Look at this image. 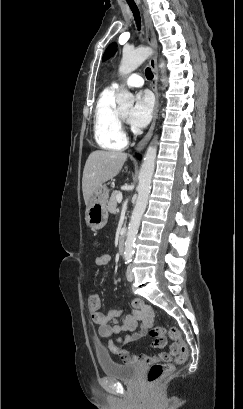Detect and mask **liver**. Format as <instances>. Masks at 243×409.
<instances>
[{
  "label": "liver",
  "instance_id": "obj_1",
  "mask_svg": "<svg viewBox=\"0 0 243 409\" xmlns=\"http://www.w3.org/2000/svg\"><path fill=\"white\" fill-rule=\"evenodd\" d=\"M126 159L127 153L120 151L97 150L89 155L82 178V191L86 206L93 194L120 172Z\"/></svg>",
  "mask_w": 243,
  "mask_h": 409
}]
</instances>
